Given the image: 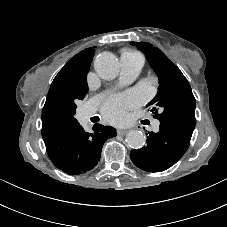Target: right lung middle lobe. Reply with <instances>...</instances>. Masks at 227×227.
Here are the masks:
<instances>
[{
	"mask_svg": "<svg viewBox=\"0 0 227 227\" xmlns=\"http://www.w3.org/2000/svg\"><path fill=\"white\" fill-rule=\"evenodd\" d=\"M87 92V89L83 91L60 90L47 96L42 111L43 140L78 124L74 117L77 107L75 103L82 100Z\"/></svg>",
	"mask_w": 227,
	"mask_h": 227,
	"instance_id": "right-lung-middle-lobe-1",
	"label": "right lung middle lobe"
}]
</instances>
